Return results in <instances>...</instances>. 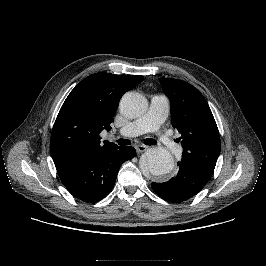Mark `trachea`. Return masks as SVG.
I'll return each mask as SVG.
<instances>
[{"label": "trachea", "mask_w": 266, "mask_h": 266, "mask_svg": "<svg viewBox=\"0 0 266 266\" xmlns=\"http://www.w3.org/2000/svg\"><path fill=\"white\" fill-rule=\"evenodd\" d=\"M117 142H118V144H119L120 146H126V145L131 144V141H130V140H128V139H123V138L118 139ZM144 143H145L146 145H155V144H157V141L154 140V139H152V138H148V139H145Z\"/></svg>", "instance_id": "obj_1"}]
</instances>
